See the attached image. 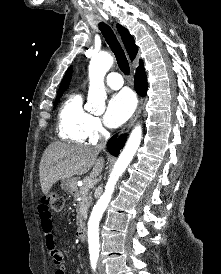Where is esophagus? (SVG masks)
Listing matches in <instances>:
<instances>
[{"mask_svg": "<svg viewBox=\"0 0 221 274\" xmlns=\"http://www.w3.org/2000/svg\"><path fill=\"white\" fill-rule=\"evenodd\" d=\"M142 107H143V100L142 98H140L135 113L133 114L129 122L122 129V133H127L130 130V128L134 125L135 121L138 119V117L141 114Z\"/></svg>", "mask_w": 221, "mask_h": 274, "instance_id": "34e87169", "label": "esophagus"}]
</instances>
